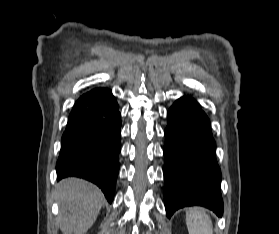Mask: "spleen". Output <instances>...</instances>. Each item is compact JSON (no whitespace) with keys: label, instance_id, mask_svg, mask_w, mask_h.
Masks as SVG:
<instances>
[{"label":"spleen","instance_id":"1","mask_svg":"<svg viewBox=\"0 0 279 234\" xmlns=\"http://www.w3.org/2000/svg\"><path fill=\"white\" fill-rule=\"evenodd\" d=\"M186 224L189 234H213V226L205 210L194 207L186 212Z\"/></svg>","mask_w":279,"mask_h":234}]
</instances>
